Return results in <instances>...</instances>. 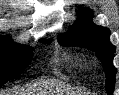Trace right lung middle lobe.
Listing matches in <instances>:
<instances>
[{"instance_id":"1","label":"right lung middle lobe","mask_w":119,"mask_h":95,"mask_svg":"<svg viewBox=\"0 0 119 95\" xmlns=\"http://www.w3.org/2000/svg\"><path fill=\"white\" fill-rule=\"evenodd\" d=\"M44 42V40H41ZM32 48L0 37V86L13 79L30 63Z\"/></svg>"}]
</instances>
